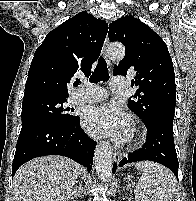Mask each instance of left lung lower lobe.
Masks as SVG:
<instances>
[{
	"instance_id": "left-lung-lower-lobe-1",
	"label": "left lung lower lobe",
	"mask_w": 196,
	"mask_h": 201,
	"mask_svg": "<svg viewBox=\"0 0 196 201\" xmlns=\"http://www.w3.org/2000/svg\"><path fill=\"white\" fill-rule=\"evenodd\" d=\"M145 145L129 154L119 163V167L136 161L150 160L168 167L178 178L179 163L173 139V122L157 120L147 126ZM117 169L114 164L113 170Z\"/></svg>"
}]
</instances>
